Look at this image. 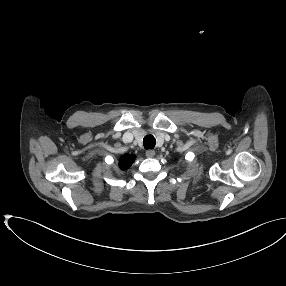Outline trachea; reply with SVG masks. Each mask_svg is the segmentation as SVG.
<instances>
[{"label":"trachea","mask_w":286,"mask_h":286,"mask_svg":"<svg viewBox=\"0 0 286 286\" xmlns=\"http://www.w3.org/2000/svg\"><path fill=\"white\" fill-rule=\"evenodd\" d=\"M156 140L152 135H146L143 139V145L145 149H153L155 147Z\"/></svg>","instance_id":"trachea-1"}]
</instances>
